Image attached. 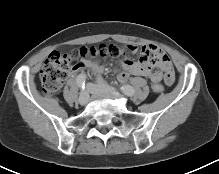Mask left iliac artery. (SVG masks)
<instances>
[{
  "label": "left iliac artery",
  "instance_id": "left-iliac-artery-1",
  "mask_svg": "<svg viewBox=\"0 0 219 174\" xmlns=\"http://www.w3.org/2000/svg\"><path fill=\"white\" fill-rule=\"evenodd\" d=\"M97 82H98L99 84L105 85V83H104V81L102 80L101 77L97 78ZM121 90H122L123 93H125V94L128 95V96H132V95L135 93L134 88H133L132 86H130V85H124V86H122V87H121Z\"/></svg>",
  "mask_w": 219,
  "mask_h": 174
}]
</instances>
